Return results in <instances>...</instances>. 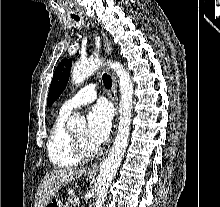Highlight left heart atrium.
<instances>
[{
    "label": "left heart atrium",
    "instance_id": "obj_1",
    "mask_svg": "<svg viewBox=\"0 0 220 207\" xmlns=\"http://www.w3.org/2000/svg\"><path fill=\"white\" fill-rule=\"evenodd\" d=\"M112 111L103 101L96 103L88 112L85 137L95 148L104 143L111 131Z\"/></svg>",
    "mask_w": 220,
    "mask_h": 207
}]
</instances>
